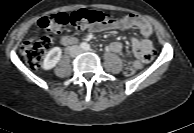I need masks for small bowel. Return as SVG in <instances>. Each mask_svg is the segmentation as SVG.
<instances>
[{
  "label": "small bowel",
  "instance_id": "1",
  "mask_svg": "<svg viewBox=\"0 0 194 133\" xmlns=\"http://www.w3.org/2000/svg\"><path fill=\"white\" fill-rule=\"evenodd\" d=\"M129 29H137L142 35V39L137 37H132L131 44L133 51L136 55V60L132 62L133 66H143V64L147 63L149 60H144L143 56L152 57L154 53L153 43L150 40V36L152 34V26L151 24L143 17L130 14L119 21H111L110 23L93 26L91 28L94 32H101L106 30H129ZM109 49L125 57L123 52V47L120 43L114 42L109 46Z\"/></svg>",
  "mask_w": 194,
  "mask_h": 133
}]
</instances>
